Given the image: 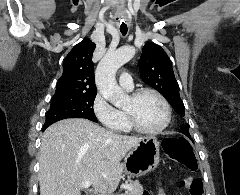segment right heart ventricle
Returning <instances> with one entry per match:
<instances>
[{
	"label": "right heart ventricle",
	"mask_w": 240,
	"mask_h": 195,
	"mask_svg": "<svg viewBox=\"0 0 240 195\" xmlns=\"http://www.w3.org/2000/svg\"><path fill=\"white\" fill-rule=\"evenodd\" d=\"M127 90V89H125ZM130 91V90H127ZM119 123L115 128H111L113 131H120V133L130 132L132 127L130 126L127 116L123 110H119Z\"/></svg>",
	"instance_id": "1"
}]
</instances>
